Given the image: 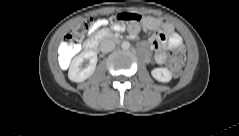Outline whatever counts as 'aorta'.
Segmentation results:
<instances>
[{
  "mask_svg": "<svg viewBox=\"0 0 239 136\" xmlns=\"http://www.w3.org/2000/svg\"><path fill=\"white\" fill-rule=\"evenodd\" d=\"M121 46H122L123 49H129L130 48V43L127 42V41H124Z\"/></svg>",
  "mask_w": 239,
  "mask_h": 136,
  "instance_id": "762f6f07",
  "label": "aorta"
}]
</instances>
